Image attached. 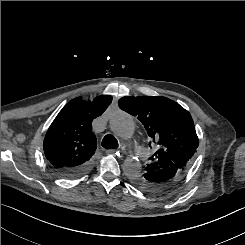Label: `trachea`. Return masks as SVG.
I'll return each instance as SVG.
<instances>
[{
	"label": "trachea",
	"mask_w": 245,
	"mask_h": 245,
	"mask_svg": "<svg viewBox=\"0 0 245 245\" xmlns=\"http://www.w3.org/2000/svg\"><path fill=\"white\" fill-rule=\"evenodd\" d=\"M102 146L106 149H116L118 148V141L113 135L107 134L102 140Z\"/></svg>",
	"instance_id": "obj_1"
}]
</instances>
